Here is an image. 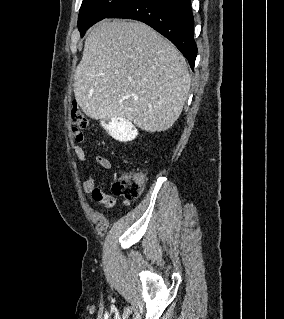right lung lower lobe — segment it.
Wrapping results in <instances>:
<instances>
[{
  "instance_id": "98d812e1",
  "label": "right lung lower lobe",
  "mask_w": 284,
  "mask_h": 319,
  "mask_svg": "<svg viewBox=\"0 0 284 319\" xmlns=\"http://www.w3.org/2000/svg\"><path fill=\"white\" fill-rule=\"evenodd\" d=\"M107 18L142 21L168 38L194 69L197 46L190 0H131Z\"/></svg>"
}]
</instances>
